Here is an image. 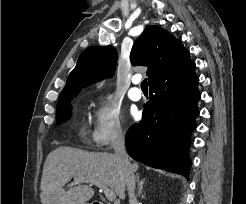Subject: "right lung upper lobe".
Returning <instances> with one entry per match:
<instances>
[{
  "mask_svg": "<svg viewBox=\"0 0 246 204\" xmlns=\"http://www.w3.org/2000/svg\"><path fill=\"white\" fill-rule=\"evenodd\" d=\"M130 60L133 65L147 66L149 84L154 80L192 64L189 51L166 30L152 25L135 41ZM117 62L112 46H93L79 57L59 99L76 96L82 87L111 77Z\"/></svg>",
  "mask_w": 246,
  "mask_h": 204,
  "instance_id": "1",
  "label": "right lung upper lobe"
}]
</instances>
